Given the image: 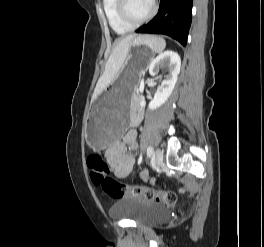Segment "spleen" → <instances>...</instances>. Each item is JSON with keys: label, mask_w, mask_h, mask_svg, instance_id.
<instances>
[{"label": "spleen", "mask_w": 264, "mask_h": 247, "mask_svg": "<svg viewBox=\"0 0 264 247\" xmlns=\"http://www.w3.org/2000/svg\"><path fill=\"white\" fill-rule=\"evenodd\" d=\"M144 43L147 44L152 51L160 53L165 49L166 42L162 37L157 36H145Z\"/></svg>", "instance_id": "spleen-1"}]
</instances>
